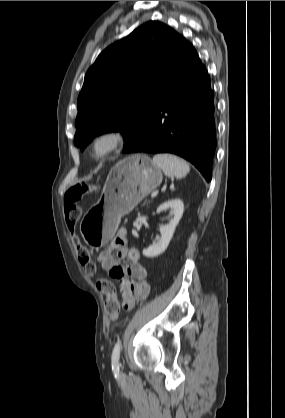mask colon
Masks as SVG:
<instances>
[{
  "mask_svg": "<svg viewBox=\"0 0 285 418\" xmlns=\"http://www.w3.org/2000/svg\"><path fill=\"white\" fill-rule=\"evenodd\" d=\"M82 191L77 187L69 189L65 194L64 203V217L67 228L70 232L71 240L76 247L77 256L80 264L88 274H95L97 272V266L93 263L90 255V251L81 245L79 238L76 234L77 223L81 216V211L78 206V202L82 198ZM101 285L105 290V311L110 318H117L120 311V303L116 297L113 285L107 281L102 280ZM133 306L132 302H127L123 305L125 309H131Z\"/></svg>",
  "mask_w": 285,
  "mask_h": 418,
  "instance_id": "1",
  "label": "colon"
}]
</instances>
